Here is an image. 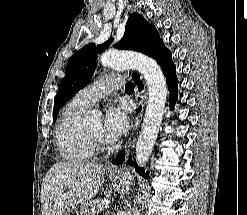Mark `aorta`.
<instances>
[{
	"instance_id": "aorta-1",
	"label": "aorta",
	"mask_w": 247,
	"mask_h": 215,
	"mask_svg": "<svg viewBox=\"0 0 247 215\" xmlns=\"http://www.w3.org/2000/svg\"><path fill=\"white\" fill-rule=\"evenodd\" d=\"M100 61L105 66L117 69H135L146 80L148 101L135 149L137 164L143 167L151 156L165 111L168 91L163 72L154 59L141 53L124 51L106 52L101 56ZM100 117V111H92V121ZM130 215H139L138 208L133 207Z\"/></svg>"
}]
</instances>
